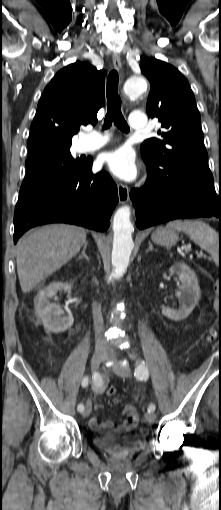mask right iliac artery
Wrapping results in <instances>:
<instances>
[{
    "mask_svg": "<svg viewBox=\"0 0 221 510\" xmlns=\"http://www.w3.org/2000/svg\"><path fill=\"white\" fill-rule=\"evenodd\" d=\"M95 375H96V373L94 374V376ZM88 383H89V377H84V379L82 380V386L83 387H87ZM77 410L79 412H82L84 410V405L83 404H79L78 407H77Z\"/></svg>",
    "mask_w": 221,
    "mask_h": 510,
    "instance_id": "right-iliac-artery-1",
    "label": "right iliac artery"
}]
</instances>
